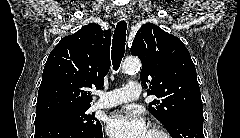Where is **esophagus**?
<instances>
[{"label":"esophagus","mask_w":240,"mask_h":138,"mask_svg":"<svg viewBox=\"0 0 240 138\" xmlns=\"http://www.w3.org/2000/svg\"><path fill=\"white\" fill-rule=\"evenodd\" d=\"M117 15H118V19H119L120 21L126 20V19H127L126 8H125V7H121V8L118 10Z\"/></svg>","instance_id":"esophagus-1"}]
</instances>
